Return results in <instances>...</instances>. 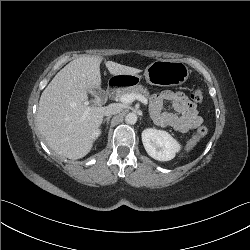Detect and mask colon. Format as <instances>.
Wrapping results in <instances>:
<instances>
[{
	"label": "colon",
	"mask_w": 250,
	"mask_h": 250,
	"mask_svg": "<svg viewBox=\"0 0 250 250\" xmlns=\"http://www.w3.org/2000/svg\"><path fill=\"white\" fill-rule=\"evenodd\" d=\"M190 98L195 103H201L203 101V93L201 90L195 89L190 93ZM207 132V128L205 126H201L188 141L187 148L178 150L177 155L172 157V163L178 164L181 162L184 155L188 154V149L193 148L207 134Z\"/></svg>",
	"instance_id": "obj_1"
}]
</instances>
